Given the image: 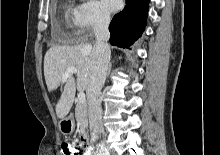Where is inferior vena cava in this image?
Listing matches in <instances>:
<instances>
[{
  "mask_svg": "<svg viewBox=\"0 0 220 155\" xmlns=\"http://www.w3.org/2000/svg\"><path fill=\"white\" fill-rule=\"evenodd\" d=\"M109 23V14L100 13L94 27L96 42L93 46L90 81L86 90L89 109V125L93 140L104 133L99 94L104 86L110 61V49L107 44L110 37L108 30Z\"/></svg>",
  "mask_w": 220,
  "mask_h": 155,
  "instance_id": "obj_1",
  "label": "inferior vena cava"
}]
</instances>
